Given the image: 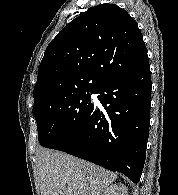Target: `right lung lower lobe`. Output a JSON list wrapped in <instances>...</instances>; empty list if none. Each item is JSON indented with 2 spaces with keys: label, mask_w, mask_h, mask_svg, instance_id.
<instances>
[{
  "label": "right lung lower lobe",
  "mask_w": 178,
  "mask_h": 195,
  "mask_svg": "<svg viewBox=\"0 0 178 195\" xmlns=\"http://www.w3.org/2000/svg\"><path fill=\"white\" fill-rule=\"evenodd\" d=\"M149 62L99 88L104 109L92 106L53 149L139 182L146 158L151 107Z\"/></svg>",
  "instance_id": "98d812e1"
}]
</instances>
